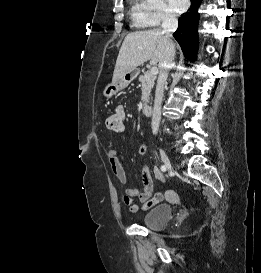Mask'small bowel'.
Masks as SVG:
<instances>
[{"label":"small bowel","instance_id":"1","mask_svg":"<svg viewBox=\"0 0 261 273\" xmlns=\"http://www.w3.org/2000/svg\"><path fill=\"white\" fill-rule=\"evenodd\" d=\"M113 115H118L121 117L122 128L117 132H122L124 130V121L126 119V110L123 105H118L115 108ZM147 152V145L145 142H142L138 148V154L144 156ZM108 161L111 167L112 173L115 178L121 183H126V174L122 164L118 159V150L116 148H111L108 151ZM155 177L157 179L161 178V173L158 170H155ZM142 182L143 188L139 191L136 188H126L123 194V202L128 206L129 210L132 213H137L140 209L146 211L163 200L164 195L161 192L154 193L153 189V180L151 177L150 170L148 166L144 165L142 168ZM138 198V201L141 203V207L134 200Z\"/></svg>","mask_w":261,"mask_h":273}]
</instances>
